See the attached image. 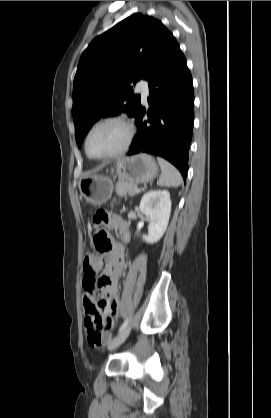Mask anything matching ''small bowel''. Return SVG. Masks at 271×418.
Segmentation results:
<instances>
[{
	"instance_id": "small-bowel-1",
	"label": "small bowel",
	"mask_w": 271,
	"mask_h": 418,
	"mask_svg": "<svg viewBox=\"0 0 271 418\" xmlns=\"http://www.w3.org/2000/svg\"><path fill=\"white\" fill-rule=\"evenodd\" d=\"M106 222L110 227L119 229L122 236L127 238V226L118 216L106 217ZM105 264L100 277L97 278V285L103 292L106 301L102 307H99L95 300V278L94 274L101 266ZM125 265V254L121 248L113 251L104 252L101 258L89 256L83 263V305L85 314L92 309L98 310L101 314L107 330L113 328L114 318L119 311L118 279ZM105 336V334H104Z\"/></svg>"
}]
</instances>
